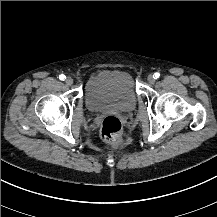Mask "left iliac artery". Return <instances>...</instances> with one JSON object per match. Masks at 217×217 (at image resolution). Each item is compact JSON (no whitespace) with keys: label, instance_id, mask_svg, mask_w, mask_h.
<instances>
[{"label":"left iliac artery","instance_id":"44dca946","mask_svg":"<svg viewBox=\"0 0 217 217\" xmlns=\"http://www.w3.org/2000/svg\"><path fill=\"white\" fill-rule=\"evenodd\" d=\"M153 76L155 79H157V78H159L160 74L158 72H156Z\"/></svg>","mask_w":217,"mask_h":217}]
</instances>
